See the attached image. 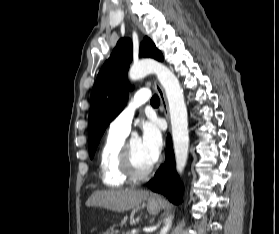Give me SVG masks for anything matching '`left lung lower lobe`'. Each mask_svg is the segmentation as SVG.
<instances>
[{
    "mask_svg": "<svg viewBox=\"0 0 279 234\" xmlns=\"http://www.w3.org/2000/svg\"><path fill=\"white\" fill-rule=\"evenodd\" d=\"M148 186L153 191L166 195L171 202L179 204V198L182 197L183 188L180 178L175 170L170 135H168L167 138L165 163L156 172L154 179L148 183Z\"/></svg>",
    "mask_w": 279,
    "mask_h": 234,
    "instance_id": "obj_1",
    "label": "left lung lower lobe"
}]
</instances>
